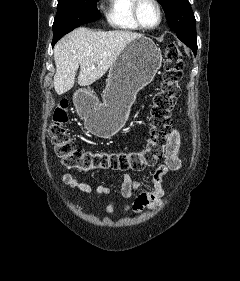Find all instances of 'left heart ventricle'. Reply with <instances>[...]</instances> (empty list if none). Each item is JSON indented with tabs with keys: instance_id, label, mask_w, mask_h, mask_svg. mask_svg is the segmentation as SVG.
Returning <instances> with one entry per match:
<instances>
[{
	"instance_id": "1",
	"label": "left heart ventricle",
	"mask_w": 240,
	"mask_h": 281,
	"mask_svg": "<svg viewBox=\"0 0 240 281\" xmlns=\"http://www.w3.org/2000/svg\"><path fill=\"white\" fill-rule=\"evenodd\" d=\"M139 14L142 22L147 26H154L158 21V10L153 2L150 0H143Z\"/></svg>"
}]
</instances>
